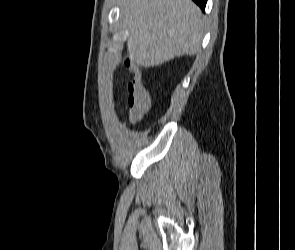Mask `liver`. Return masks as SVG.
Listing matches in <instances>:
<instances>
[{"mask_svg":"<svg viewBox=\"0 0 295 250\" xmlns=\"http://www.w3.org/2000/svg\"><path fill=\"white\" fill-rule=\"evenodd\" d=\"M119 6L137 64L154 67L200 49L204 19L191 0H119Z\"/></svg>","mask_w":295,"mask_h":250,"instance_id":"obj_1","label":"liver"}]
</instances>
